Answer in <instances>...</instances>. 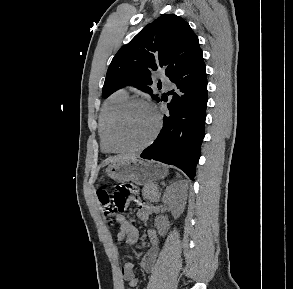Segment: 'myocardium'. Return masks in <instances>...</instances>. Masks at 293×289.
Wrapping results in <instances>:
<instances>
[{
    "instance_id": "1",
    "label": "myocardium",
    "mask_w": 293,
    "mask_h": 289,
    "mask_svg": "<svg viewBox=\"0 0 293 289\" xmlns=\"http://www.w3.org/2000/svg\"><path fill=\"white\" fill-rule=\"evenodd\" d=\"M136 104H142V105L148 106L153 111V113L155 115V119H156L155 128H154L152 134L150 135V137L148 138V140L146 142H144L143 144L136 146V147L121 146L118 144V142L116 141V138H115V131H116L117 122L131 106L136 105ZM161 127H162L161 115L152 104H150L149 102H147L143 99H140V98L128 99L125 103H123L117 109V111L114 113V115L110 121L108 133H107V142H108L109 148L112 152H115V153H133V152L141 151V150L147 148L148 146H150L154 142V140L157 138V136L161 130Z\"/></svg>"
}]
</instances>
